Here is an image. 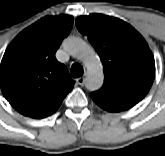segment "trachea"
<instances>
[{"instance_id":"1","label":"trachea","mask_w":165,"mask_h":156,"mask_svg":"<svg viewBox=\"0 0 165 156\" xmlns=\"http://www.w3.org/2000/svg\"><path fill=\"white\" fill-rule=\"evenodd\" d=\"M71 75L73 78L81 77L83 75V67L79 63L72 64Z\"/></svg>"}]
</instances>
